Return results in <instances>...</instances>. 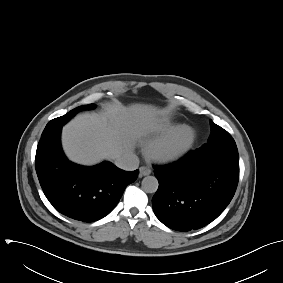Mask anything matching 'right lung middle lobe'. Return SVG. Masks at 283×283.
I'll return each instance as SVG.
<instances>
[{
    "label": "right lung middle lobe",
    "mask_w": 283,
    "mask_h": 283,
    "mask_svg": "<svg viewBox=\"0 0 283 283\" xmlns=\"http://www.w3.org/2000/svg\"><path fill=\"white\" fill-rule=\"evenodd\" d=\"M95 105L94 104H90V105H84V106H80V107H77L73 110H71L70 112H68L67 114L61 116V117H58V118H55L53 120H51L45 127L44 131L43 132H46L52 128H55V127H58V126H62L64 125L66 122H68L71 117H73L75 114H77L78 112H80L81 110H84V109H92L94 108Z\"/></svg>",
    "instance_id": "1"
}]
</instances>
